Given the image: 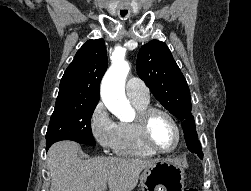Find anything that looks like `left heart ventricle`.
<instances>
[{
    "label": "left heart ventricle",
    "instance_id": "obj_1",
    "mask_svg": "<svg viewBox=\"0 0 251 191\" xmlns=\"http://www.w3.org/2000/svg\"><path fill=\"white\" fill-rule=\"evenodd\" d=\"M150 135L152 142L160 151L170 152L178 145L177 130L173 122L163 114L154 116L150 126Z\"/></svg>",
    "mask_w": 251,
    "mask_h": 191
}]
</instances>
